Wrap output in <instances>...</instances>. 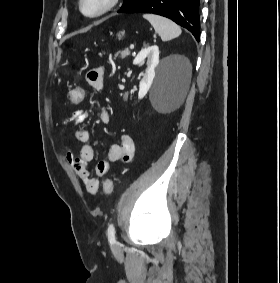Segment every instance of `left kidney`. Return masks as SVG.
<instances>
[{
	"instance_id": "left-kidney-1",
	"label": "left kidney",
	"mask_w": 280,
	"mask_h": 283,
	"mask_svg": "<svg viewBox=\"0 0 280 283\" xmlns=\"http://www.w3.org/2000/svg\"><path fill=\"white\" fill-rule=\"evenodd\" d=\"M146 58H147V70L139 83L138 99H142L147 94L153 83L155 77V69L159 64V48L157 45H152L142 49L135 57L133 64L139 65L142 62H144ZM169 59L171 60L176 59L181 64H185L187 62L185 58L180 56H173L170 57Z\"/></svg>"
}]
</instances>
